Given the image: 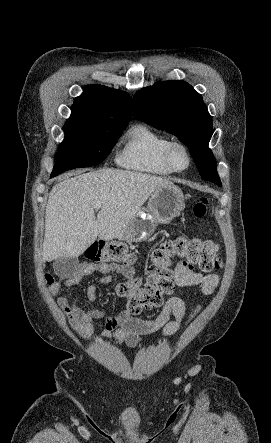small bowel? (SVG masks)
I'll use <instances>...</instances> for the list:
<instances>
[{
  "label": "small bowel",
  "instance_id": "c3829d8e",
  "mask_svg": "<svg viewBox=\"0 0 271 443\" xmlns=\"http://www.w3.org/2000/svg\"><path fill=\"white\" fill-rule=\"evenodd\" d=\"M95 272L104 274L96 283L87 287L85 300L88 304L96 299L97 284H107L112 280V273H117L125 278L135 275L134 269L118 263H88L84 262L71 276L61 278L50 286V293L58 294L63 288L77 286L81 280ZM173 278L175 283L181 287L199 284L204 294H211L218 285L219 278L215 274L203 275L193 269L187 262H179L175 269ZM57 304L67 319L69 327L76 331L85 341L92 337V323L95 319L103 318L104 310L84 309L77 304V300H71L69 295L60 296ZM186 304L178 297L169 298L160 314L155 319H141L134 317L127 309L120 310L116 315L106 319V327L102 333L103 338L113 340L119 344L134 347L138 345L142 336L161 331L162 336L174 334L180 326L185 315ZM173 317V319H171Z\"/></svg>",
  "mask_w": 271,
  "mask_h": 443
}]
</instances>
